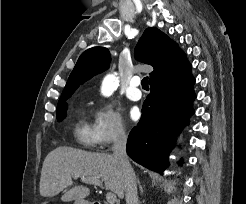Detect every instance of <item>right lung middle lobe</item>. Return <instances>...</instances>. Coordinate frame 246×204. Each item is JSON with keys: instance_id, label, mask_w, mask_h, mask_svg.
<instances>
[{"instance_id": "1", "label": "right lung middle lobe", "mask_w": 246, "mask_h": 204, "mask_svg": "<svg viewBox=\"0 0 246 204\" xmlns=\"http://www.w3.org/2000/svg\"><path fill=\"white\" fill-rule=\"evenodd\" d=\"M68 97H64L59 99L58 105H57V120L62 121L66 117V107L67 103L65 102Z\"/></svg>"}]
</instances>
